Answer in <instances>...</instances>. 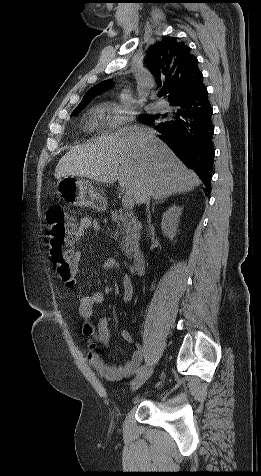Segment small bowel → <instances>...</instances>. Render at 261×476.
I'll return each instance as SVG.
<instances>
[{
	"label": "small bowel",
	"mask_w": 261,
	"mask_h": 476,
	"mask_svg": "<svg viewBox=\"0 0 261 476\" xmlns=\"http://www.w3.org/2000/svg\"><path fill=\"white\" fill-rule=\"evenodd\" d=\"M88 230H93L98 233L100 231V223L98 220L91 217H84L81 219L74 239L81 241ZM82 260V252L75 251L72 253L71 263L75 268L78 267ZM102 268L106 270L120 269L118 261L114 258H108L103 264ZM121 284L123 289V301L125 304H130L133 300L134 289L130 277L127 274H123L121 277ZM104 296L99 292H94L88 295H81L79 299V315L82 318L84 331L91 342L95 344H103L106 347L111 345V335L109 330V324L106 317H100L95 323L93 316L96 306L102 304ZM121 337L124 341L132 343L134 341L132 334L123 330ZM143 359V351L140 345L136 344L134 351L132 352L130 360L121 366H111L102 360L98 352L90 350L88 353V360L91 366L104 378L111 381L120 380L125 377H129L136 373L141 365Z\"/></svg>",
	"instance_id": "obj_1"
}]
</instances>
